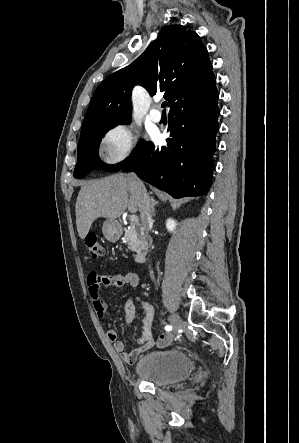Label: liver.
<instances>
[{"label":"liver","mask_w":299,"mask_h":443,"mask_svg":"<svg viewBox=\"0 0 299 443\" xmlns=\"http://www.w3.org/2000/svg\"><path fill=\"white\" fill-rule=\"evenodd\" d=\"M131 177L114 174L99 180L85 182L78 194L75 212L79 237L84 239L92 223L100 218L115 220L126 209L136 213L137 195L131 188Z\"/></svg>","instance_id":"obj_1"}]
</instances>
